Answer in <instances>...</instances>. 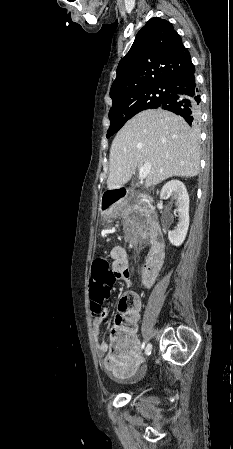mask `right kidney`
Listing matches in <instances>:
<instances>
[{
	"mask_svg": "<svg viewBox=\"0 0 233 449\" xmlns=\"http://www.w3.org/2000/svg\"><path fill=\"white\" fill-rule=\"evenodd\" d=\"M171 196L176 200L179 221L176 228L168 233V239L174 246H180L189 228V196L185 185L179 180L167 182L160 193V197L165 199Z\"/></svg>",
	"mask_w": 233,
	"mask_h": 449,
	"instance_id": "obj_1",
	"label": "right kidney"
}]
</instances>
